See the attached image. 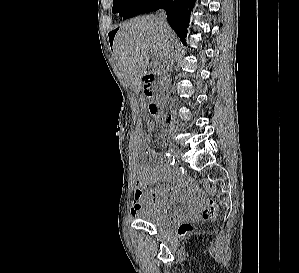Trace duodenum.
<instances>
[{
	"label": "duodenum",
	"instance_id": "obj_1",
	"mask_svg": "<svg viewBox=\"0 0 299 273\" xmlns=\"http://www.w3.org/2000/svg\"><path fill=\"white\" fill-rule=\"evenodd\" d=\"M154 75L150 72H146L143 76V92L148 100L149 112L158 118L163 117L161 108V99L153 92L152 83Z\"/></svg>",
	"mask_w": 299,
	"mask_h": 273
}]
</instances>
